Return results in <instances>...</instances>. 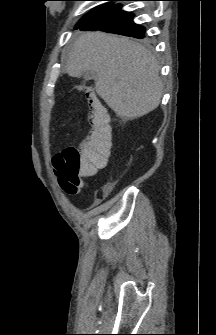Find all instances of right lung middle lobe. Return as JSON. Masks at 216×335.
<instances>
[{
    "mask_svg": "<svg viewBox=\"0 0 216 335\" xmlns=\"http://www.w3.org/2000/svg\"><path fill=\"white\" fill-rule=\"evenodd\" d=\"M105 1H111L108 2L106 4L100 5L96 8H94L92 11H90L89 13H87L77 24L76 28L81 27L82 25L88 23L90 20H92L93 18L97 17L98 15L102 14L103 12H105L106 10H108L109 8H111L114 3L112 1H119V0H105Z\"/></svg>",
    "mask_w": 216,
    "mask_h": 335,
    "instance_id": "right-lung-middle-lobe-1",
    "label": "right lung middle lobe"
}]
</instances>
